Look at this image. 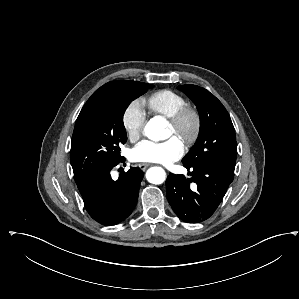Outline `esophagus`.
<instances>
[{"mask_svg": "<svg viewBox=\"0 0 299 299\" xmlns=\"http://www.w3.org/2000/svg\"><path fill=\"white\" fill-rule=\"evenodd\" d=\"M149 166H150V164H148V163H140V164H138V167H139L142 171H145Z\"/></svg>", "mask_w": 299, "mask_h": 299, "instance_id": "34e87169", "label": "esophagus"}]
</instances>
